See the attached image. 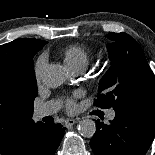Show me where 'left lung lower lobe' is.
<instances>
[{
	"mask_svg": "<svg viewBox=\"0 0 155 155\" xmlns=\"http://www.w3.org/2000/svg\"><path fill=\"white\" fill-rule=\"evenodd\" d=\"M110 124L96 121L90 141L95 155H144L155 137V102L116 110Z\"/></svg>",
	"mask_w": 155,
	"mask_h": 155,
	"instance_id": "obj_1",
	"label": "left lung lower lobe"
}]
</instances>
